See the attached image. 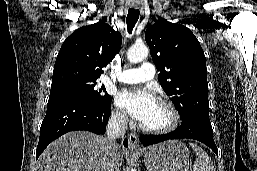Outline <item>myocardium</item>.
I'll list each match as a JSON object with an SVG mask.
<instances>
[{
	"instance_id": "myocardium-1",
	"label": "myocardium",
	"mask_w": 257,
	"mask_h": 171,
	"mask_svg": "<svg viewBox=\"0 0 257 171\" xmlns=\"http://www.w3.org/2000/svg\"><path fill=\"white\" fill-rule=\"evenodd\" d=\"M160 105L165 107L170 115H171V120L170 122L162 127H149L144 124H140L141 130L147 133L151 134H166L174 131L178 125L180 124V113L176 106L168 99L161 98L157 101Z\"/></svg>"
}]
</instances>
